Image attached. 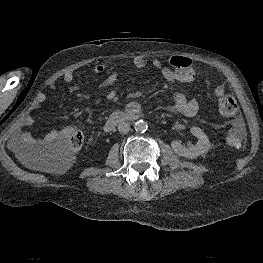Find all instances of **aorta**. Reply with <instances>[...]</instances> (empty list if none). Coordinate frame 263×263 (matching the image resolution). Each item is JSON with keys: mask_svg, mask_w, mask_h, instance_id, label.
I'll return each instance as SVG.
<instances>
[{"mask_svg": "<svg viewBox=\"0 0 263 263\" xmlns=\"http://www.w3.org/2000/svg\"><path fill=\"white\" fill-rule=\"evenodd\" d=\"M134 128L136 130V132H145L148 129V124L146 121L144 120H138L135 122L134 124Z\"/></svg>", "mask_w": 263, "mask_h": 263, "instance_id": "obj_1", "label": "aorta"}]
</instances>
